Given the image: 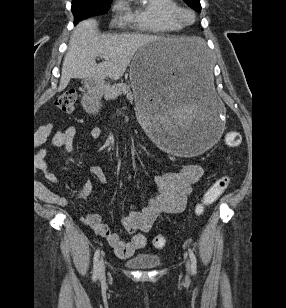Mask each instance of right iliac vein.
<instances>
[{
    "instance_id": "63e3f726",
    "label": "right iliac vein",
    "mask_w": 286,
    "mask_h": 308,
    "mask_svg": "<svg viewBox=\"0 0 286 308\" xmlns=\"http://www.w3.org/2000/svg\"><path fill=\"white\" fill-rule=\"evenodd\" d=\"M104 275H105V263L103 258H101L99 262L98 276L103 277Z\"/></svg>"
}]
</instances>
